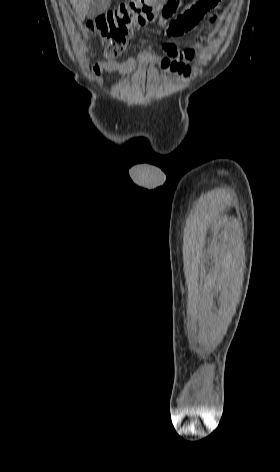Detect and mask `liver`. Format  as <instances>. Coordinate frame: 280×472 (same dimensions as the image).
Masks as SVG:
<instances>
[{"label":"liver","mask_w":280,"mask_h":472,"mask_svg":"<svg viewBox=\"0 0 280 472\" xmlns=\"http://www.w3.org/2000/svg\"><path fill=\"white\" fill-rule=\"evenodd\" d=\"M70 2L77 14V22H82L88 14L91 0H70Z\"/></svg>","instance_id":"liver-1"}]
</instances>
